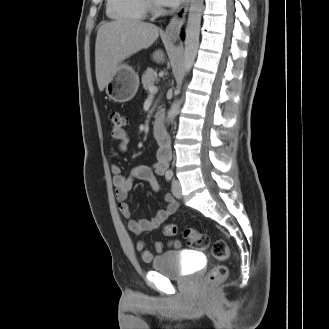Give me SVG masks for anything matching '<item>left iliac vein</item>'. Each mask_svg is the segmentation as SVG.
<instances>
[{
    "instance_id": "4c4485c4",
    "label": "left iliac vein",
    "mask_w": 329,
    "mask_h": 329,
    "mask_svg": "<svg viewBox=\"0 0 329 329\" xmlns=\"http://www.w3.org/2000/svg\"><path fill=\"white\" fill-rule=\"evenodd\" d=\"M172 193L177 199L182 198L181 185L178 180H174L172 183Z\"/></svg>"
}]
</instances>
